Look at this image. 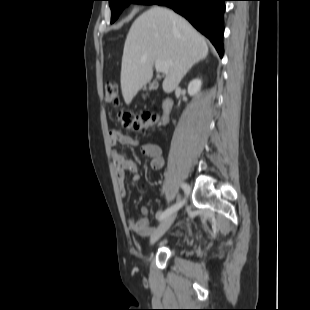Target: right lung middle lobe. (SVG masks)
Here are the masks:
<instances>
[{
	"label": "right lung middle lobe",
	"mask_w": 310,
	"mask_h": 310,
	"mask_svg": "<svg viewBox=\"0 0 310 310\" xmlns=\"http://www.w3.org/2000/svg\"><path fill=\"white\" fill-rule=\"evenodd\" d=\"M108 1L112 12L111 23H113L119 17L124 7L131 2L143 5H151L154 2V0H108Z\"/></svg>",
	"instance_id": "dd1d6c3e"
}]
</instances>
